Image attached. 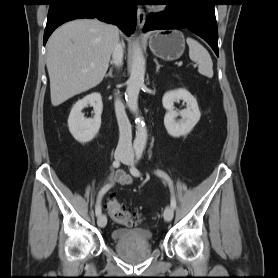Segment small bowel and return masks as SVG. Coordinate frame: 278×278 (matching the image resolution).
<instances>
[{
  "label": "small bowel",
  "instance_id": "1",
  "mask_svg": "<svg viewBox=\"0 0 278 278\" xmlns=\"http://www.w3.org/2000/svg\"><path fill=\"white\" fill-rule=\"evenodd\" d=\"M132 183H133V177L130 174H127L123 170L119 169L114 171L108 176L102 188H108L109 190L114 184L131 185Z\"/></svg>",
  "mask_w": 278,
  "mask_h": 278
}]
</instances>
